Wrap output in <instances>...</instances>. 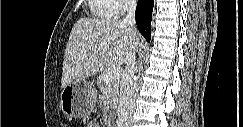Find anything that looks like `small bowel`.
<instances>
[{
  "mask_svg": "<svg viewBox=\"0 0 243 127\" xmlns=\"http://www.w3.org/2000/svg\"><path fill=\"white\" fill-rule=\"evenodd\" d=\"M88 127H98V124L95 122L89 123Z\"/></svg>",
  "mask_w": 243,
  "mask_h": 127,
  "instance_id": "c3829d8e",
  "label": "small bowel"
}]
</instances>
